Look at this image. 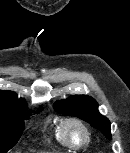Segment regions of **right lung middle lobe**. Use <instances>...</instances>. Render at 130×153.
<instances>
[{"label":"right lung middle lobe","mask_w":130,"mask_h":153,"mask_svg":"<svg viewBox=\"0 0 130 153\" xmlns=\"http://www.w3.org/2000/svg\"><path fill=\"white\" fill-rule=\"evenodd\" d=\"M29 117L25 109L17 113L0 112V153H7L13 148L25 128L24 120Z\"/></svg>","instance_id":"right-lung-middle-lobe-1"}]
</instances>
